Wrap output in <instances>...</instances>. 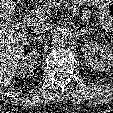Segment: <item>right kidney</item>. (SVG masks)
<instances>
[{"mask_svg":"<svg viewBox=\"0 0 113 113\" xmlns=\"http://www.w3.org/2000/svg\"><path fill=\"white\" fill-rule=\"evenodd\" d=\"M40 53L37 49L28 52L19 64L18 74L22 77L31 75L39 64Z\"/></svg>","mask_w":113,"mask_h":113,"instance_id":"1","label":"right kidney"}]
</instances>
